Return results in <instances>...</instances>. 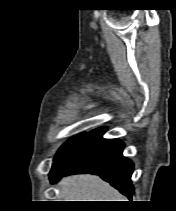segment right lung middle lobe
<instances>
[{"label": "right lung middle lobe", "instance_id": "1", "mask_svg": "<svg viewBox=\"0 0 176 211\" xmlns=\"http://www.w3.org/2000/svg\"><path fill=\"white\" fill-rule=\"evenodd\" d=\"M87 133H82L77 136L72 137L69 139L63 146L59 149L57 152L54 162H56L71 146H73L75 143H77L80 139H82Z\"/></svg>", "mask_w": 176, "mask_h": 211}]
</instances>
